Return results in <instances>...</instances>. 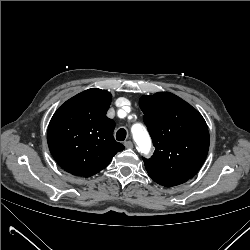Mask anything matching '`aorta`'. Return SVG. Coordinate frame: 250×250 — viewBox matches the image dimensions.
Here are the masks:
<instances>
[{"label":"aorta","mask_w":250,"mask_h":250,"mask_svg":"<svg viewBox=\"0 0 250 250\" xmlns=\"http://www.w3.org/2000/svg\"><path fill=\"white\" fill-rule=\"evenodd\" d=\"M133 137L137 143L139 149L142 152H147L151 147V140L147 132L143 130H137L133 132Z\"/></svg>","instance_id":"1"}]
</instances>
